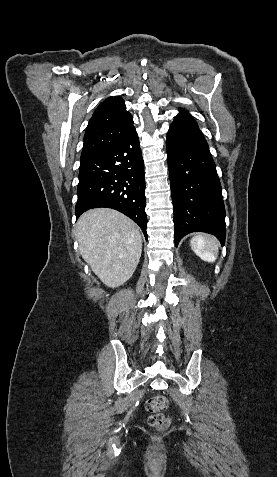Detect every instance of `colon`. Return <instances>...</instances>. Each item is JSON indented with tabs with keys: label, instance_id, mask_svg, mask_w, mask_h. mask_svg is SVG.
Wrapping results in <instances>:
<instances>
[{
	"label": "colon",
	"instance_id": "5ec220e1",
	"mask_svg": "<svg viewBox=\"0 0 277 477\" xmlns=\"http://www.w3.org/2000/svg\"><path fill=\"white\" fill-rule=\"evenodd\" d=\"M168 407V399L157 395L146 401L145 409L148 412V424L157 430H165L170 425V419L164 414Z\"/></svg>",
	"mask_w": 277,
	"mask_h": 477
}]
</instances>
